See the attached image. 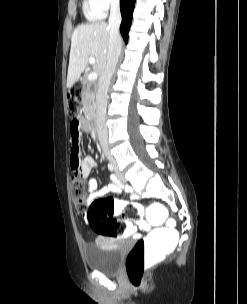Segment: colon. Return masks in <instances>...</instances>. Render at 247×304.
I'll list each match as a JSON object with an SVG mask.
<instances>
[{
    "mask_svg": "<svg viewBox=\"0 0 247 304\" xmlns=\"http://www.w3.org/2000/svg\"><path fill=\"white\" fill-rule=\"evenodd\" d=\"M81 95L80 84H75L68 90L67 108L70 116L72 112L80 113ZM70 189L76 207L81 211L87 210L90 227L99 235L109 237L129 235L130 224L114 219L113 215L119 214L126 219L136 220L143 214V207L140 204L120 201L112 197L95 199L87 207V184L77 173L72 175ZM144 211V215L148 217L145 218V225H152V229L146 237L134 244L126 259L128 279L136 288L141 287L143 283L147 265L155 259H163V253H173L179 242L176 216L170 214L165 202H149Z\"/></svg>",
    "mask_w": 247,
    "mask_h": 304,
    "instance_id": "5ec220e1",
    "label": "colon"
}]
</instances>
